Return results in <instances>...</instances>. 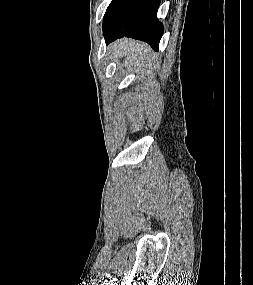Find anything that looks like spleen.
<instances>
[{
  "label": "spleen",
  "instance_id": "obj_1",
  "mask_svg": "<svg viewBox=\"0 0 253 285\" xmlns=\"http://www.w3.org/2000/svg\"><path fill=\"white\" fill-rule=\"evenodd\" d=\"M117 48L128 53L124 60V66L129 70H132L133 67L135 69L136 67H141V65L151 63L150 48L145 44L124 39L118 42Z\"/></svg>",
  "mask_w": 253,
  "mask_h": 285
}]
</instances>
